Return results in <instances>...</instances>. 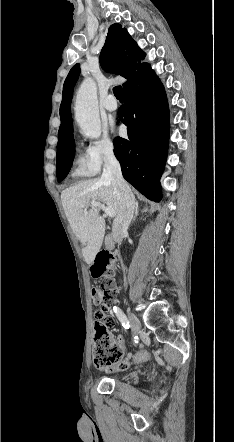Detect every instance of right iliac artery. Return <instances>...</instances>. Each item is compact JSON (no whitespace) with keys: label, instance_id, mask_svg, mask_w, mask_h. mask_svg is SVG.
<instances>
[{"label":"right iliac artery","instance_id":"obj_1","mask_svg":"<svg viewBox=\"0 0 234 442\" xmlns=\"http://www.w3.org/2000/svg\"><path fill=\"white\" fill-rule=\"evenodd\" d=\"M115 314L117 315L118 319L120 320V322L122 323V326L126 329H129L130 324L129 321L126 317V315L122 312V310L116 306H114L113 308Z\"/></svg>","mask_w":234,"mask_h":442}]
</instances>
